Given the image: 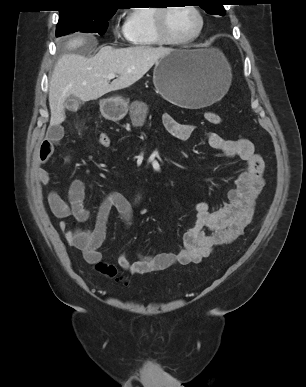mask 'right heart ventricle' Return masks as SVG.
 Instances as JSON below:
<instances>
[{
	"instance_id": "right-heart-ventricle-1",
	"label": "right heart ventricle",
	"mask_w": 306,
	"mask_h": 387,
	"mask_svg": "<svg viewBox=\"0 0 306 387\" xmlns=\"http://www.w3.org/2000/svg\"><path fill=\"white\" fill-rule=\"evenodd\" d=\"M155 8L138 7L129 12L124 24L125 37L129 43L137 47H154L158 41L153 27Z\"/></svg>"
}]
</instances>
